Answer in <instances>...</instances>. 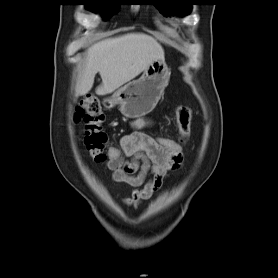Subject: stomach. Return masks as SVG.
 <instances>
[{
    "label": "stomach",
    "instance_id": "obj_1",
    "mask_svg": "<svg viewBox=\"0 0 278 278\" xmlns=\"http://www.w3.org/2000/svg\"><path fill=\"white\" fill-rule=\"evenodd\" d=\"M170 74L166 62L156 60L139 79L129 82L105 99L104 105L108 108L119 105L121 113L127 118L142 117L155 108L168 85Z\"/></svg>",
    "mask_w": 278,
    "mask_h": 278
}]
</instances>
